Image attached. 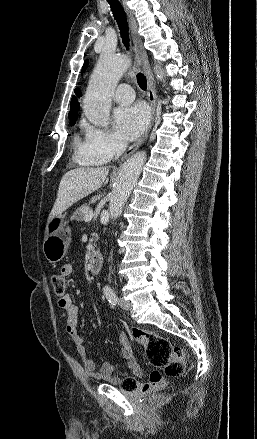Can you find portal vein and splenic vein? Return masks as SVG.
I'll return each mask as SVG.
<instances>
[{"mask_svg": "<svg viewBox=\"0 0 257 439\" xmlns=\"http://www.w3.org/2000/svg\"><path fill=\"white\" fill-rule=\"evenodd\" d=\"M92 218H93V212H92V211H89V212L85 215V217H84V221H85V222L91 221Z\"/></svg>", "mask_w": 257, "mask_h": 439, "instance_id": "18ae733b", "label": "portal vein and splenic vein"}]
</instances>
